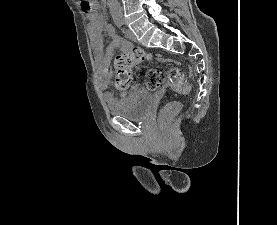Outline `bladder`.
Listing matches in <instances>:
<instances>
[{
    "label": "bladder",
    "instance_id": "bladder-1",
    "mask_svg": "<svg viewBox=\"0 0 277 225\" xmlns=\"http://www.w3.org/2000/svg\"><path fill=\"white\" fill-rule=\"evenodd\" d=\"M154 105L151 92L144 89H135L124 98L118 99L109 105L112 115L121 116L132 121L145 120L149 117Z\"/></svg>",
    "mask_w": 277,
    "mask_h": 225
}]
</instances>
